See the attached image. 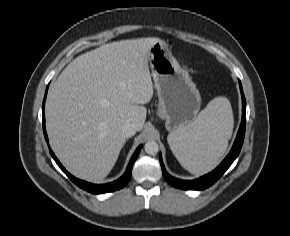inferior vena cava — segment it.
Returning <instances> with one entry per match:
<instances>
[{"label":"inferior vena cava","mask_w":290,"mask_h":236,"mask_svg":"<svg viewBox=\"0 0 290 236\" xmlns=\"http://www.w3.org/2000/svg\"><path fill=\"white\" fill-rule=\"evenodd\" d=\"M137 129L133 123H124L121 127V132L125 138L132 137L136 133Z\"/></svg>","instance_id":"1"}]
</instances>
